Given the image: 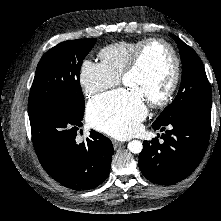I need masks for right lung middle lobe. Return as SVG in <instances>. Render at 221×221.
Masks as SVG:
<instances>
[{
	"label": "right lung middle lobe",
	"mask_w": 221,
	"mask_h": 221,
	"mask_svg": "<svg viewBox=\"0 0 221 221\" xmlns=\"http://www.w3.org/2000/svg\"><path fill=\"white\" fill-rule=\"evenodd\" d=\"M95 43L96 39L62 42L42 57L30 90L29 116L53 106H65L83 114L85 102L79 72Z\"/></svg>",
	"instance_id": "dd1d6c3e"
}]
</instances>
